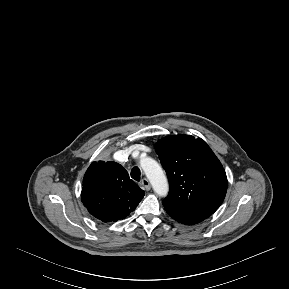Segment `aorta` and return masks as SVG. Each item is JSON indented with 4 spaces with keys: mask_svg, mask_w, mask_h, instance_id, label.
I'll use <instances>...</instances> for the list:
<instances>
[{
    "mask_svg": "<svg viewBox=\"0 0 289 289\" xmlns=\"http://www.w3.org/2000/svg\"><path fill=\"white\" fill-rule=\"evenodd\" d=\"M140 165L149 179L153 190L159 196H166L169 190L167 178L161 166L152 158L141 159Z\"/></svg>",
    "mask_w": 289,
    "mask_h": 289,
    "instance_id": "1",
    "label": "aorta"
}]
</instances>
